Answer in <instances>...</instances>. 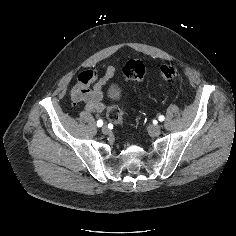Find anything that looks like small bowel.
<instances>
[{"instance_id":"small-bowel-1","label":"small bowel","mask_w":236,"mask_h":236,"mask_svg":"<svg viewBox=\"0 0 236 236\" xmlns=\"http://www.w3.org/2000/svg\"><path fill=\"white\" fill-rule=\"evenodd\" d=\"M115 67L109 65L104 74L99 76L95 71L87 70L78 75V82L72 89L74 102H85L89 112H102L105 109L103 86L114 76ZM92 85V88H90Z\"/></svg>"}]
</instances>
